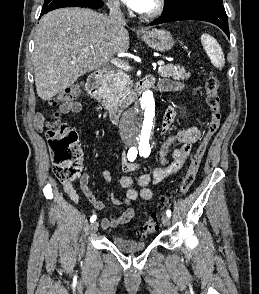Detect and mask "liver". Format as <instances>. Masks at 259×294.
<instances>
[{
  "instance_id": "6515ba94",
  "label": "liver",
  "mask_w": 259,
  "mask_h": 294,
  "mask_svg": "<svg viewBox=\"0 0 259 294\" xmlns=\"http://www.w3.org/2000/svg\"><path fill=\"white\" fill-rule=\"evenodd\" d=\"M33 66L38 96L48 101L82 75L129 49V34L109 18L83 8H61L42 17L34 33ZM92 47L84 52V47Z\"/></svg>"
}]
</instances>
